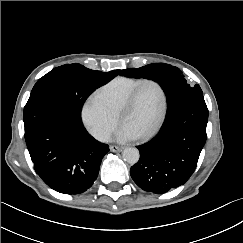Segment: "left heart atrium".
<instances>
[{"label":"left heart atrium","mask_w":243,"mask_h":243,"mask_svg":"<svg viewBox=\"0 0 243 243\" xmlns=\"http://www.w3.org/2000/svg\"><path fill=\"white\" fill-rule=\"evenodd\" d=\"M138 137V134L127 125H122L115 134V140L125 142Z\"/></svg>","instance_id":"1"}]
</instances>
